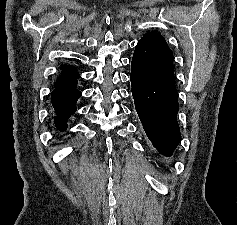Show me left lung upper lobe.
Listing matches in <instances>:
<instances>
[{
    "label": "left lung upper lobe",
    "instance_id": "obj_1",
    "mask_svg": "<svg viewBox=\"0 0 237 225\" xmlns=\"http://www.w3.org/2000/svg\"><path fill=\"white\" fill-rule=\"evenodd\" d=\"M173 53L158 33L144 34L138 42L131 63V74L149 85H173Z\"/></svg>",
    "mask_w": 237,
    "mask_h": 225
}]
</instances>
